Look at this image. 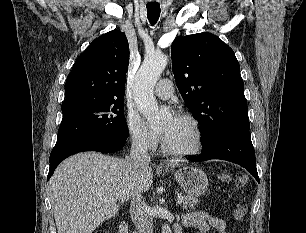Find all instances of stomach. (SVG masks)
Returning a JSON list of instances; mask_svg holds the SVG:
<instances>
[{"mask_svg": "<svg viewBox=\"0 0 306 233\" xmlns=\"http://www.w3.org/2000/svg\"><path fill=\"white\" fill-rule=\"evenodd\" d=\"M181 189L192 197H198L208 188L207 175L201 169L194 166H182L173 172Z\"/></svg>", "mask_w": 306, "mask_h": 233, "instance_id": "1", "label": "stomach"}]
</instances>
